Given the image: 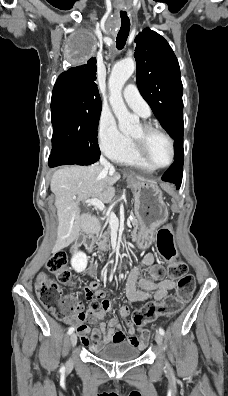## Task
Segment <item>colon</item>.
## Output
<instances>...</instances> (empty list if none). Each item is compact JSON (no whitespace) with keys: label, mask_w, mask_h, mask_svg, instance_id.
Masks as SVG:
<instances>
[{"label":"colon","mask_w":228,"mask_h":396,"mask_svg":"<svg viewBox=\"0 0 228 396\" xmlns=\"http://www.w3.org/2000/svg\"><path fill=\"white\" fill-rule=\"evenodd\" d=\"M156 245L159 254L168 261V275L177 280L176 293L166 297L162 303H148L136 310L133 314V322L137 326H144L158 316L178 313L184 304L191 298L196 282L192 274L188 273V266L176 259L172 226L170 224L161 227L157 233ZM48 270L55 276L54 281L46 274H39L36 279V295L47 310L57 319L68 322H77L81 319L79 312L80 304L71 295H65L60 284L72 285V273L68 265V258L64 251L56 252L48 260ZM101 308V303L92 302L89 311L95 313Z\"/></svg>","instance_id":"colon-1"}]
</instances>
